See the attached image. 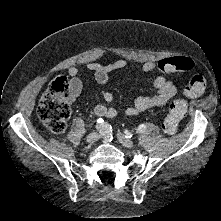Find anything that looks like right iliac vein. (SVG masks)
Instances as JSON below:
<instances>
[{
  "label": "right iliac vein",
  "instance_id": "right-iliac-vein-1",
  "mask_svg": "<svg viewBox=\"0 0 221 221\" xmlns=\"http://www.w3.org/2000/svg\"><path fill=\"white\" fill-rule=\"evenodd\" d=\"M98 139H99V136H98V134H97L96 132H92V133H90L89 135H87V137H86V141H87L88 143H94V142H96Z\"/></svg>",
  "mask_w": 221,
  "mask_h": 221
}]
</instances>
